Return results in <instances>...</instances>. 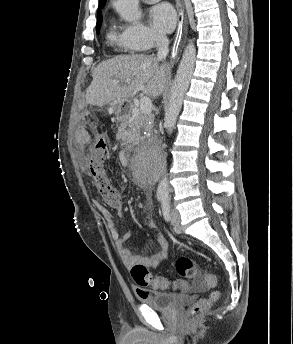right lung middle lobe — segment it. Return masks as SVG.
<instances>
[{
	"instance_id": "obj_1",
	"label": "right lung middle lobe",
	"mask_w": 293,
	"mask_h": 344,
	"mask_svg": "<svg viewBox=\"0 0 293 344\" xmlns=\"http://www.w3.org/2000/svg\"><path fill=\"white\" fill-rule=\"evenodd\" d=\"M99 8H103V7H99ZM102 23V16L100 18L97 19V25H96V31L98 32L100 29Z\"/></svg>"
}]
</instances>
